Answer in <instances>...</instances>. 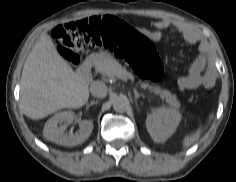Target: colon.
Wrapping results in <instances>:
<instances>
[{
  "label": "colon",
  "instance_id": "colon-1",
  "mask_svg": "<svg viewBox=\"0 0 236 182\" xmlns=\"http://www.w3.org/2000/svg\"><path fill=\"white\" fill-rule=\"evenodd\" d=\"M60 54L72 66L90 48L104 47L124 59L142 78L157 81L163 66L152 41L114 16L93 17L56 26L52 32Z\"/></svg>",
  "mask_w": 236,
  "mask_h": 182
}]
</instances>
